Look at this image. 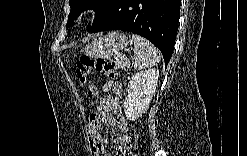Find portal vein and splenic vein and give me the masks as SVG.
<instances>
[{
	"label": "portal vein and splenic vein",
	"instance_id": "18ae733b",
	"mask_svg": "<svg viewBox=\"0 0 247 156\" xmlns=\"http://www.w3.org/2000/svg\"><path fill=\"white\" fill-rule=\"evenodd\" d=\"M129 65H130V61H126L125 66L129 67Z\"/></svg>",
	"mask_w": 247,
	"mask_h": 156
}]
</instances>
